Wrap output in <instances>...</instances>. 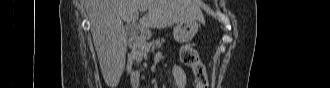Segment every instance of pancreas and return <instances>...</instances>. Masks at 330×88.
<instances>
[{
    "label": "pancreas",
    "mask_w": 330,
    "mask_h": 88,
    "mask_svg": "<svg viewBox=\"0 0 330 88\" xmlns=\"http://www.w3.org/2000/svg\"><path fill=\"white\" fill-rule=\"evenodd\" d=\"M164 42H165V40L163 38H161V39H157L155 41L145 43L144 47L140 50V54H139L140 59L144 58L145 60H147L148 54L150 52H153L155 50V48H160Z\"/></svg>",
    "instance_id": "obj_1"
}]
</instances>
